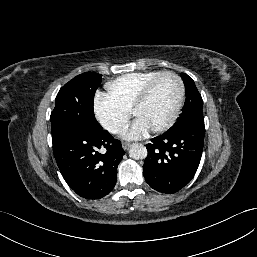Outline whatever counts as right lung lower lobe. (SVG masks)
<instances>
[{
	"instance_id": "obj_1",
	"label": "right lung lower lobe",
	"mask_w": 257,
	"mask_h": 257,
	"mask_svg": "<svg viewBox=\"0 0 257 257\" xmlns=\"http://www.w3.org/2000/svg\"><path fill=\"white\" fill-rule=\"evenodd\" d=\"M52 143L60 172L76 194L100 199L111 192L118 164L125 154L119 140L103 130L92 134L67 133ZM103 148L106 152L99 153Z\"/></svg>"
}]
</instances>
